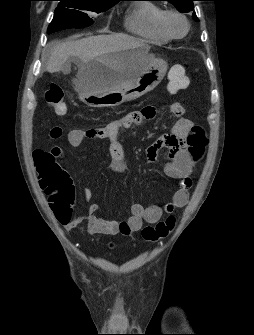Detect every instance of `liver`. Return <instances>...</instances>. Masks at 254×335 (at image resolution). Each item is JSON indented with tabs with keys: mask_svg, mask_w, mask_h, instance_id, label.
Instances as JSON below:
<instances>
[{
	"mask_svg": "<svg viewBox=\"0 0 254 335\" xmlns=\"http://www.w3.org/2000/svg\"><path fill=\"white\" fill-rule=\"evenodd\" d=\"M141 45H144L141 40L123 34L97 35L76 41L56 42L51 49L46 70L49 73H56L66 67L69 71L67 63L70 59H74L79 67L77 78L83 77L88 75L89 64L93 60L98 58L106 60L113 53ZM143 69L112 74L105 85V90L120 89L127 80ZM75 89L78 92L77 87Z\"/></svg>",
	"mask_w": 254,
	"mask_h": 335,
	"instance_id": "6515ba94",
	"label": "liver"
}]
</instances>
